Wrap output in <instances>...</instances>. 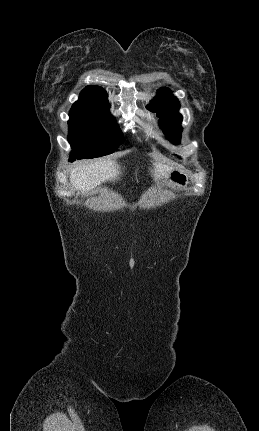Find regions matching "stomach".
Returning <instances> with one entry per match:
<instances>
[{
	"label": "stomach",
	"mask_w": 259,
	"mask_h": 431,
	"mask_svg": "<svg viewBox=\"0 0 259 431\" xmlns=\"http://www.w3.org/2000/svg\"><path fill=\"white\" fill-rule=\"evenodd\" d=\"M169 184L178 188H186L188 185V176L179 170H172L168 177Z\"/></svg>",
	"instance_id": "0dacf381"
}]
</instances>
